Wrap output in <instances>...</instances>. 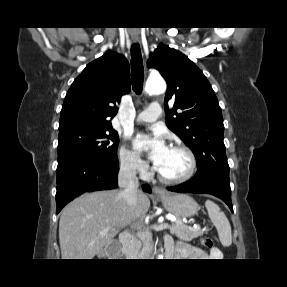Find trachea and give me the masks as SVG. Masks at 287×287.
<instances>
[{
    "label": "trachea",
    "instance_id": "3493384b",
    "mask_svg": "<svg viewBox=\"0 0 287 287\" xmlns=\"http://www.w3.org/2000/svg\"><path fill=\"white\" fill-rule=\"evenodd\" d=\"M131 81L134 92L140 94L144 82V69L141 50L138 44H134L131 47Z\"/></svg>",
    "mask_w": 287,
    "mask_h": 287
}]
</instances>
